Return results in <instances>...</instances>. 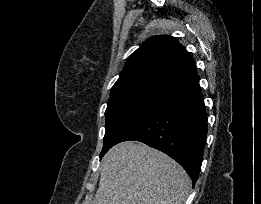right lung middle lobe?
<instances>
[{"instance_id": "right-lung-middle-lobe-1", "label": "right lung middle lobe", "mask_w": 261, "mask_h": 204, "mask_svg": "<svg viewBox=\"0 0 261 204\" xmlns=\"http://www.w3.org/2000/svg\"><path fill=\"white\" fill-rule=\"evenodd\" d=\"M167 93L157 91H132L112 95L105 111L106 132L100 158L132 126L156 107Z\"/></svg>"}]
</instances>
